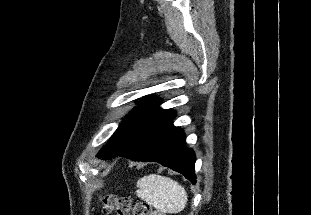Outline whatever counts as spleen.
<instances>
[{
    "mask_svg": "<svg viewBox=\"0 0 311 215\" xmlns=\"http://www.w3.org/2000/svg\"><path fill=\"white\" fill-rule=\"evenodd\" d=\"M136 194L147 204L163 213L175 214L186 207L188 195L177 181L157 174H149L137 182Z\"/></svg>",
    "mask_w": 311,
    "mask_h": 215,
    "instance_id": "3e777b00",
    "label": "spleen"
}]
</instances>
